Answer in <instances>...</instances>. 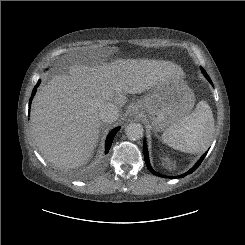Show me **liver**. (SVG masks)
<instances>
[{"label":"liver","mask_w":245,"mask_h":245,"mask_svg":"<svg viewBox=\"0 0 245 245\" xmlns=\"http://www.w3.org/2000/svg\"><path fill=\"white\" fill-rule=\"evenodd\" d=\"M182 76L169 61L117 59L99 65L74 64L37 92L31 110V132L43 158L57 168L71 169L87 162L98 142L99 105L121 108L125 94L154 87L167 76Z\"/></svg>","instance_id":"obj_1"}]
</instances>
